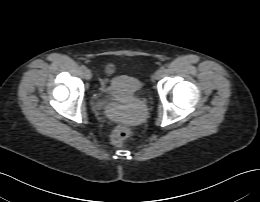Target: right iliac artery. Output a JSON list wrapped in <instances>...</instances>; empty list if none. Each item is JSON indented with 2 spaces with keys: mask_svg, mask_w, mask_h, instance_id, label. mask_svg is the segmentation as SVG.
I'll return each instance as SVG.
<instances>
[{
  "mask_svg": "<svg viewBox=\"0 0 260 202\" xmlns=\"http://www.w3.org/2000/svg\"><path fill=\"white\" fill-rule=\"evenodd\" d=\"M80 69H81V70H85L86 67H85L84 65H81V66H80Z\"/></svg>",
  "mask_w": 260,
  "mask_h": 202,
  "instance_id": "obj_1",
  "label": "right iliac artery"
}]
</instances>
